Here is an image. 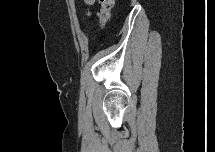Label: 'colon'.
<instances>
[{
    "label": "colon",
    "instance_id": "obj_1",
    "mask_svg": "<svg viewBox=\"0 0 215 152\" xmlns=\"http://www.w3.org/2000/svg\"><path fill=\"white\" fill-rule=\"evenodd\" d=\"M87 6L92 4V0H85ZM114 6V0H99L98 19L99 26L103 28L110 20L111 10Z\"/></svg>",
    "mask_w": 215,
    "mask_h": 152
}]
</instances>
